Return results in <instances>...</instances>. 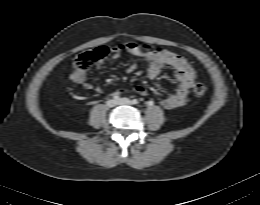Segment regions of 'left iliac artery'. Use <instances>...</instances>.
Returning <instances> with one entry per match:
<instances>
[{
    "label": "left iliac artery",
    "instance_id": "obj_1",
    "mask_svg": "<svg viewBox=\"0 0 260 205\" xmlns=\"http://www.w3.org/2000/svg\"><path fill=\"white\" fill-rule=\"evenodd\" d=\"M138 103H139V102H138L137 99H133V100H132V104H135V105H136V104H138Z\"/></svg>",
    "mask_w": 260,
    "mask_h": 205
}]
</instances>
